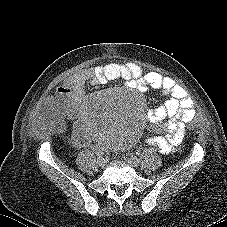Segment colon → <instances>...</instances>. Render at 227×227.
<instances>
[{
    "label": "colon",
    "mask_w": 227,
    "mask_h": 227,
    "mask_svg": "<svg viewBox=\"0 0 227 227\" xmlns=\"http://www.w3.org/2000/svg\"><path fill=\"white\" fill-rule=\"evenodd\" d=\"M193 133H194V130L189 125L183 126L179 131L180 136L184 139L191 137L193 135Z\"/></svg>",
    "instance_id": "5ec220e1"
}]
</instances>
